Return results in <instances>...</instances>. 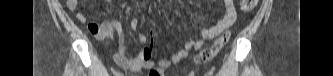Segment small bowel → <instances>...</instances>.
<instances>
[{
	"mask_svg": "<svg viewBox=\"0 0 333 76\" xmlns=\"http://www.w3.org/2000/svg\"><path fill=\"white\" fill-rule=\"evenodd\" d=\"M67 7L71 11L78 8V0H67ZM76 18L81 23H87V16L81 12H76ZM236 19V9L233 0H224V10L221 19L211 27H201V38L189 39L184 46L176 51L170 58H162L158 61L152 60L153 45L145 34L140 33L138 40L144 44L137 56L128 58L126 55V44L123 38L122 28L116 20H106L101 23L96 21L88 22V29L97 39H105L117 35L119 38V51L114 54V61L118 66L129 71L149 69L147 76H162V70L185 59L191 50L202 49L207 41L216 38L220 33L227 30ZM130 26L133 30L138 28V21L132 19Z\"/></svg>",
	"mask_w": 333,
	"mask_h": 76,
	"instance_id": "c3829d8e",
	"label": "small bowel"
}]
</instances>
